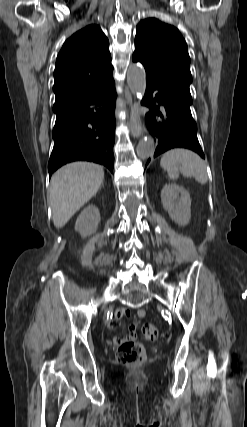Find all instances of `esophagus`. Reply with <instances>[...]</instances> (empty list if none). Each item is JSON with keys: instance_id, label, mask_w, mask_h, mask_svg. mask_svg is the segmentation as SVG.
<instances>
[{"instance_id": "obj_1", "label": "esophagus", "mask_w": 247, "mask_h": 427, "mask_svg": "<svg viewBox=\"0 0 247 427\" xmlns=\"http://www.w3.org/2000/svg\"><path fill=\"white\" fill-rule=\"evenodd\" d=\"M129 127L133 137L138 138L143 135V128L139 116V104L135 102L130 110Z\"/></svg>"}]
</instances>
